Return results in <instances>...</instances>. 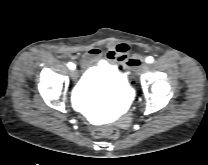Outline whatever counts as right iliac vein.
Masks as SVG:
<instances>
[{"mask_svg": "<svg viewBox=\"0 0 208 165\" xmlns=\"http://www.w3.org/2000/svg\"><path fill=\"white\" fill-rule=\"evenodd\" d=\"M70 75H71L73 80H76L78 78V71L73 70V71H71Z\"/></svg>", "mask_w": 208, "mask_h": 165, "instance_id": "obj_1", "label": "right iliac vein"}]
</instances>
